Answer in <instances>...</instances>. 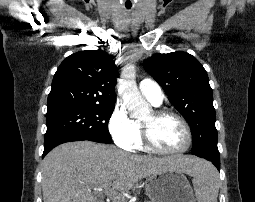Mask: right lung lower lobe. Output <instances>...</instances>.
Wrapping results in <instances>:
<instances>
[{
	"mask_svg": "<svg viewBox=\"0 0 255 202\" xmlns=\"http://www.w3.org/2000/svg\"><path fill=\"white\" fill-rule=\"evenodd\" d=\"M84 140L79 137L75 136H58L54 138H50L48 140L44 141V152H43V157L54 147H56L59 144L65 143V142H70V141H81Z\"/></svg>",
	"mask_w": 255,
	"mask_h": 202,
	"instance_id": "obj_1",
	"label": "right lung lower lobe"
}]
</instances>
